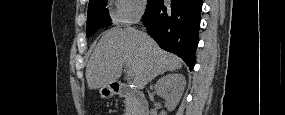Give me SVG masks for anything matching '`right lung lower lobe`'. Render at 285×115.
I'll return each mask as SVG.
<instances>
[{
	"instance_id": "98d812e1",
	"label": "right lung lower lobe",
	"mask_w": 285,
	"mask_h": 115,
	"mask_svg": "<svg viewBox=\"0 0 285 115\" xmlns=\"http://www.w3.org/2000/svg\"><path fill=\"white\" fill-rule=\"evenodd\" d=\"M202 0H151L143 22L148 34L158 45L181 57L190 70L195 65V52L199 42Z\"/></svg>"
}]
</instances>
